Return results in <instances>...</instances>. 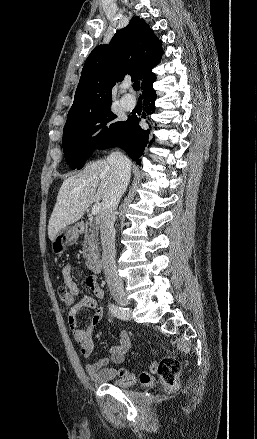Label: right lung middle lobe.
<instances>
[{
  "instance_id": "dd1d6c3e",
  "label": "right lung middle lobe",
  "mask_w": 257,
  "mask_h": 439,
  "mask_svg": "<svg viewBox=\"0 0 257 439\" xmlns=\"http://www.w3.org/2000/svg\"><path fill=\"white\" fill-rule=\"evenodd\" d=\"M110 106L66 122L63 151L72 169H81L98 148L109 144L122 131L126 121H117Z\"/></svg>"
}]
</instances>
